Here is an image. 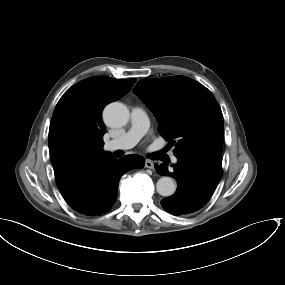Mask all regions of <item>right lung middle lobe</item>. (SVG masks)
<instances>
[{
	"instance_id": "right-lung-middle-lobe-1",
	"label": "right lung middle lobe",
	"mask_w": 285,
	"mask_h": 285,
	"mask_svg": "<svg viewBox=\"0 0 285 285\" xmlns=\"http://www.w3.org/2000/svg\"><path fill=\"white\" fill-rule=\"evenodd\" d=\"M59 136L61 140L72 150L77 152L86 151L95 147L101 139L90 137L68 124H63L59 129Z\"/></svg>"
}]
</instances>
